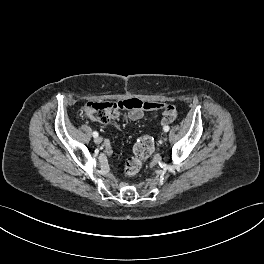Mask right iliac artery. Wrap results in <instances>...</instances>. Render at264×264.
<instances>
[{"instance_id": "obj_1", "label": "right iliac artery", "mask_w": 264, "mask_h": 264, "mask_svg": "<svg viewBox=\"0 0 264 264\" xmlns=\"http://www.w3.org/2000/svg\"><path fill=\"white\" fill-rule=\"evenodd\" d=\"M93 137H94V138L98 137V132L94 131V132H93Z\"/></svg>"}]
</instances>
